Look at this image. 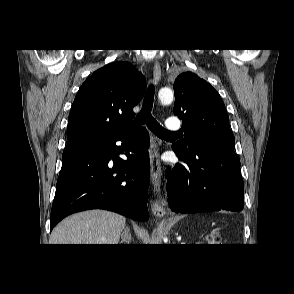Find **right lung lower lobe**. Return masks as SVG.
Segmentation results:
<instances>
[{"label": "right lung lower lobe", "mask_w": 294, "mask_h": 294, "mask_svg": "<svg viewBox=\"0 0 294 294\" xmlns=\"http://www.w3.org/2000/svg\"><path fill=\"white\" fill-rule=\"evenodd\" d=\"M131 129L65 148L50 230L66 216L89 209L110 210L138 221L149 218V136L144 128L135 133ZM117 141H122L126 161L117 156L124 152Z\"/></svg>", "instance_id": "1"}]
</instances>
